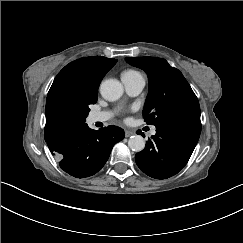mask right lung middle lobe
<instances>
[{
	"instance_id": "dd1d6c3e",
	"label": "right lung middle lobe",
	"mask_w": 243,
	"mask_h": 243,
	"mask_svg": "<svg viewBox=\"0 0 243 243\" xmlns=\"http://www.w3.org/2000/svg\"><path fill=\"white\" fill-rule=\"evenodd\" d=\"M97 95L79 96L65 101L60 109L59 115L64 124L67 126H76L85 123L90 109V104H95Z\"/></svg>"
}]
</instances>
